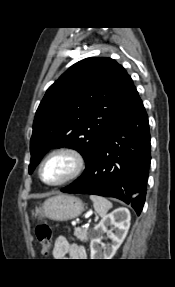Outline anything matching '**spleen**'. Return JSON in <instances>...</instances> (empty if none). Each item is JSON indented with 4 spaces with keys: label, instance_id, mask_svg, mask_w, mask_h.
Instances as JSON below:
<instances>
[{
    "label": "spleen",
    "instance_id": "obj_1",
    "mask_svg": "<svg viewBox=\"0 0 175 287\" xmlns=\"http://www.w3.org/2000/svg\"><path fill=\"white\" fill-rule=\"evenodd\" d=\"M90 200L93 202L95 211L101 217H104L108 210L112 208V203L102 196L90 195Z\"/></svg>",
    "mask_w": 175,
    "mask_h": 287
}]
</instances>
